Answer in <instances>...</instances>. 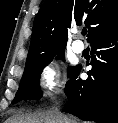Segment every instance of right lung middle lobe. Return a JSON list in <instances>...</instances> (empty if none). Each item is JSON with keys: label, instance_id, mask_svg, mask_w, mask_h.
<instances>
[{"label": "right lung middle lobe", "instance_id": "1", "mask_svg": "<svg viewBox=\"0 0 118 123\" xmlns=\"http://www.w3.org/2000/svg\"><path fill=\"white\" fill-rule=\"evenodd\" d=\"M64 50L39 58L33 64L26 67L19 85V89L12 103L21 100L39 99L40 92V74L42 70L56 57L63 59ZM75 67L68 68V76L71 75Z\"/></svg>", "mask_w": 118, "mask_h": 123}]
</instances>
